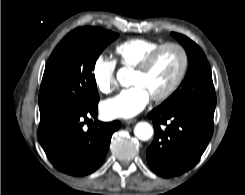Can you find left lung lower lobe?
Wrapping results in <instances>:
<instances>
[{"instance_id": "1", "label": "left lung lower lobe", "mask_w": 245, "mask_h": 195, "mask_svg": "<svg viewBox=\"0 0 245 195\" xmlns=\"http://www.w3.org/2000/svg\"><path fill=\"white\" fill-rule=\"evenodd\" d=\"M148 117L154 125L147 149L150 168L165 178L190 170L212 137L214 110L158 106Z\"/></svg>"}]
</instances>
